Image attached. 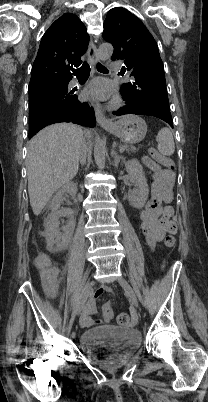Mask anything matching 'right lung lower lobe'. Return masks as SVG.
I'll return each instance as SVG.
<instances>
[{
    "label": "right lung lower lobe",
    "mask_w": 208,
    "mask_h": 402,
    "mask_svg": "<svg viewBox=\"0 0 208 402\" xmlns=\"http://www.w3.org/2000/svg\"><path fill=\"white\" fill-rule=\"evenodd\" d=\"M40 85L41 84H33L32 88L39 87ZM59 122H72L87 127H95L96 119L94 109L90 107L88 103L78 101L71 109L41 114L29 124V139L42 128Z\"/></svg>",
    "instance_id": "1"
}]
</instances>
